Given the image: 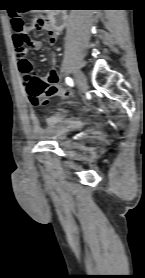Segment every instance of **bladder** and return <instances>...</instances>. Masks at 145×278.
<instances>
[{"label":"bladder","mask_w":145,"mask_h":278,"mask_svg":"<svg viewBox=\"0 0 145 278\" xmlns=\"http://www.w3.org/2000/svg\"><path fill=\"white\" fill-rule=\"evenodd\" d=\"M79 115L77 112L71 111L66 116L55 123L50 125L52 130L49 139L51 140H64L71 131L72 125L79 123Z\"/></svg>","instance_id":"31cf9c89"}]
</instances>
